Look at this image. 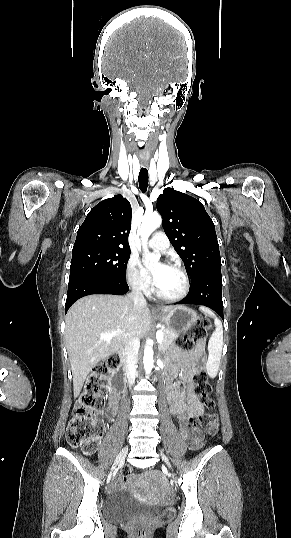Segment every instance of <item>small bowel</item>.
<instances>
[{
    "mask_svg": "<svg viewBox=\"0 0 291 538\" xmlns=\"http://www.w3.org/2000/svg\"><path fill=\"white\" fill-rule=\"evenodd\" d=\"M195 364L196 360L192 356L179 355L169 370L166 384L171 413L178 418L181 437L191 450L200 449L203 442L201 433L187 427L188 416L200 415L203 412V406L197 399L192 382ZM176 375H179L186 383V390L183 393L178 392L173 384V378ZM108 412L110 415H115L118 412V400L114 394L109 396Z\"/></svg>",
    "mask_w": 291,
    "mask_h": 538,
    "instance_id": "small-bowel-1",
    "label": "small bowel"
}]
</instances>
